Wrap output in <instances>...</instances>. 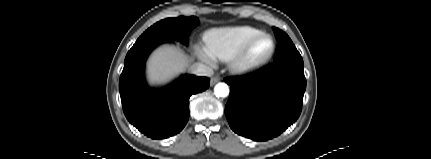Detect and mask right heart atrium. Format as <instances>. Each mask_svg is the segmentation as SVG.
Returning <instances> with one entry per match:
<instances>
[{
  "mask_svg": "<svg viewBox=\"0 0 431 159\" xmlns=\"http://www.w3.org/2000/svg\"><path fill=\"white\" fill-rule=\"evenodd\" d=\"M195 51L198 55V57L209 64H214L216 61L215 56L209 51V49L204 45H196Z\"/></svg>",
  "mask_w": 431,
  "mask_h": 159,
  "instance_id": "d8ad5b80",
  "label": "right heart atrium"
}]
</instances>
